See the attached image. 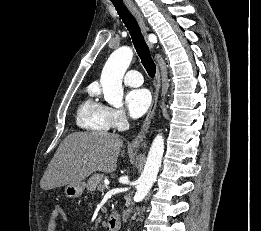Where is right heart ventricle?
<instances>
[{"mask_svg":"<svg viewBox=\"0 0 261 231\" xmlns=\"http://www.w3.org/2000/svg\"><path fill=\"white\" fill-rule=\"evenodd\" d=\"M77 126L84 130L107 132L110 129L108 107L90 89L89 96L80 104L76 113Z\"/></svg>","mask_w":261,"mask_h":231,"instance_id":"right-heart-ventricle-1","label":"right heart ventricle"}]
</instances>
